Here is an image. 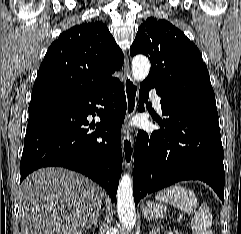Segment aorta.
Returning <instances> with one entry per match:
<instances>
[{
  "label": "aorta",
  "instance_id": "762f6f07",
  "mask_svg": "<svg viewBox=\"0 0 241 234\" xmlns=\"http://www.w3.org/2000/svg\"><path fill=\"white\" fill-rule=\"evenodd\" d=\"M150 61L143 55H137L132 60V75L137 81H143L149 74ZM117 212L123 227L132 230L136 223V213L133 198L132 179L124 174L117 191Z\"/></svg>",
  "mask_w": 241,
  "mask_h": 234
}]
</instances>
